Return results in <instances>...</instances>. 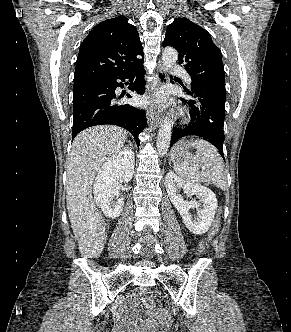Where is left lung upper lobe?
<instances>
[{"label": "left lung upper lobe", "mask_w": 291, "mask_h": 332, "mask_svg": "<svg viewBox=\"0 0 291 332\" xmlns=\"http://www.w3.org/2000/svg\"><path fill=\"white\" fill-rule=\"evenodd\" d=\"M163 46L177 49L179 63L184 64L192 83L202 80L225 84L221 51L202 27L186 18H176L167 27Z\"/></svg>", "instance_id": "1"}]
</instances>
